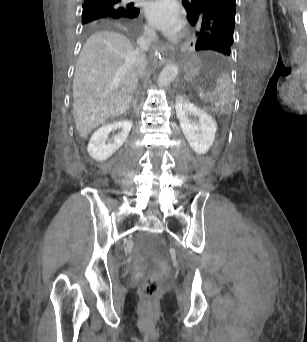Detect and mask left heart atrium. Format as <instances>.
I'll list each match as a JSON object with an SVG mask.
<instances>
[{"mask_svg": "<svg viewBox=\"0 0 307 342\" xmlns=\"http://www.w3.org/2000/svg\"><path fill=\"white\" fill-rule=\"evenodd\" d=\"M145 16L149 26L163 35L173 38L183 29V22L178 17L177 9L171 1H155L150 3Z\"/></svg>", "mask_w": 307, "mask_h": 342, "instance_id": "obj_1", "label": "left heart atrium"}]
</instances>
